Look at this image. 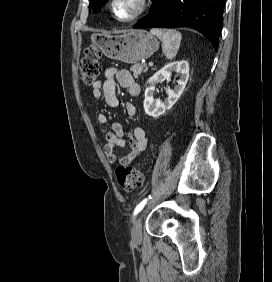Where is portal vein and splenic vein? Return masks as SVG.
<instances>
[{
    "instance_id": "18ae733b",
    "label": "portal vein and splenic vein",
    "mask_w": 272,
    "mask_h": 282,
    "mask_svg": "<svg viewBox=\"0 0 272 282\" xmlns=\"http://www.w3.org/2000/svg\"><path fill=\"white\" fill-rule=\"evenodd\" d=\"M153 66V62H149V67Z\"/></svg>"
}]
</instances>
